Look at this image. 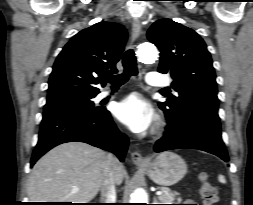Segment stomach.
Segmentation results:
<instances>
[{
  "label": "stomach",
  "instance_id": "stomach-1",
  "mask_svg": "<svg viewBox=\"0 0 253 205\" xmlns=\"http://www.w3.org/2000/svg\"><path fill=\"white\" fill-rule=\"evenodd\" d=\"M157 184L171 186L180 181L187 172L185 161L173 152H163L146 165H140Z\"/></svg>",
  "mask_w": 253,
  "mask_h": 205
}]
</instances>
